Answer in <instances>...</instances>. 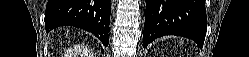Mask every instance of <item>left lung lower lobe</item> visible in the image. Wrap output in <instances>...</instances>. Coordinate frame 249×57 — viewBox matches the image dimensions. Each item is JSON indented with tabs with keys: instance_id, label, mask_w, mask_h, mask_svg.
<instances>
[{
	"instance_id": "0a47b994",
	"label": "left lung lower lobe",
	"mask_w": 249,
	"mask_h": 57,
	"mask_svg": "<svg viewBox=\"0 0 249 57\" xmlns=\"http://www.w3.org/2000/svg\"><path fill=\"white\" fill-rule=\"evenodd\" d=\"M206 27L205 0H146L143 47L158 37L177 35L202 48Z\"/></svg>"
}]
</instances>
